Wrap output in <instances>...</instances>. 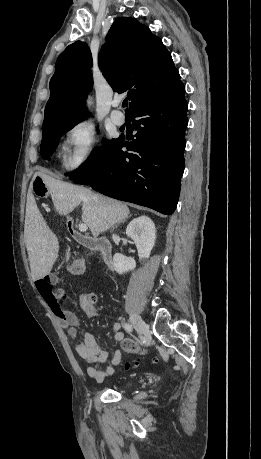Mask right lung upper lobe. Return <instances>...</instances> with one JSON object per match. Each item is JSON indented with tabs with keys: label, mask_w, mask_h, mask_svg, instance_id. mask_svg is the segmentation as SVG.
Returning <instances> with one entry per match:
<instances>
[{
	"label": "right lung upper lobe",
	"mask_w": 261,
	"mask_h": 459,
	"mask_svg": "<svg viewBox=\"0 0 261 459\" xmlns=\"http://www.w3.org/2000/svg\"><path fill=\"white\" fill-rule=\"evenodd\" d=\"M91 65V52L83 42L69 45L60 54L50 80L42 130L86 118L85 99L93 85ZM99 65L114 91L127 92L130 111L167 94L181 82L161 39L133 18H118L113 23L101 48Z\"/></svg>",
	"instance_id": "right-lung-upper-lobe-1"
}]
</instances>
